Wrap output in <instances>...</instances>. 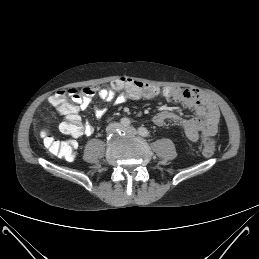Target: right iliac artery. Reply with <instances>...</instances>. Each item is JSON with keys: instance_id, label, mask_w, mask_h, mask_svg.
<instances>
[{"instance_id": "right-iliac-artery-1", "label": "right iliac artery", "mask_w": 259, "mask_h": 259, "mask_svg": "<svg viewBox=\"0 0 259 259\" xmlns=\"http://www.w3.org/2000/svg\"><path fill=\"white\" fill-rule=\"evenodd\" d=\"M120 123L124 126L127 127L130 125V120L128 118H122Z\"/></svg>"}]
</instances>
